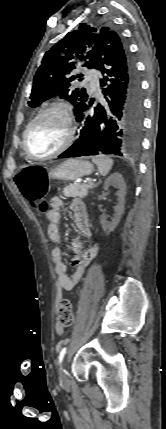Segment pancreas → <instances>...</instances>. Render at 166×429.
<instances>
[{
  "instance_id": "obj_1",
  "label": "pancreas",
  "mask_w": 166,
  "mask_h": 429,
  "mask_svg": "<svg viewBox=\"0 0 166 429\" xmlns=\"http://www.w3.org/2000/svg\"><path fill=\"white\" fill-rule=\"evenodd\" d=\"M93 182L87 184H70L63 189V195L69 197H80L84 198L88 194V190L93 188Z\"/></svg>"
}]
</instances>
